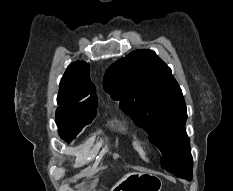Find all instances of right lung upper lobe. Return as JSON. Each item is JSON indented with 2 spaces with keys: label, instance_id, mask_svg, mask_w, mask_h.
<instances>
[{
  "label": "right lung upper lobe",
  "instance_id": "1",
  "mask_svg": "<svg viewBox=\"0 0 233 191\" xmlns=\"http://www.w3.org/2000/svg\"><path fill=\"white\" fill-rule=\"evenodd\" d=\"M89 74L86 62L77 61L68 66L60 82L57 111L71 115L96 114V88Z\"/></svg>",
  "mask_w": 233,
  "mask_h": 191
}]
</instances>
